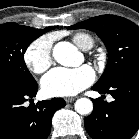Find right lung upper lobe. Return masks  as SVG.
Instances as JSON below:
<instances>
[{
	"label": "right lung upper lobe",
	"instance_id": "cb5924a9",
	"mask_svg": "<svg viewBox=\"0 0 139 139\" xmlns=\"http://www.w3.org/2000/svg\"><path fill=\"white\" fill-rule=\"evenodd\" d=\"M54 28H55V27H47V28L43 29L42 31L45 32V31H48V30H52V29H54Z\"/></svg>",
	"mask_w": 139,
	"mask_h": 139
}]
</instances>
